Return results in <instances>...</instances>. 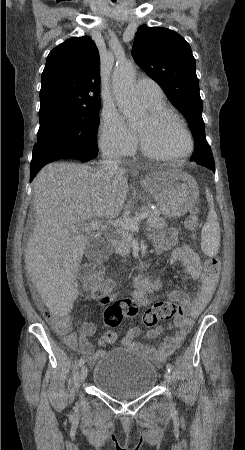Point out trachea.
Listing matches in <instances>:
<instances>
[{
	"label": "trachea",
	"mask_w": 245,
	"mask_h": 450,
	"mask_svg": "<svg viewBox=\"0 0 245 450\" xmlns=\"http://www.w3.org/2000/svg\"><path fill=\"white\" fill-rule=\"evenodd\" d=\"M112 2H116V0H112Z\"/></svg>",
	"instance_id": "obj_1"
}]
</instances>
